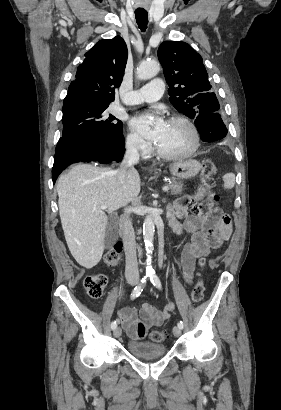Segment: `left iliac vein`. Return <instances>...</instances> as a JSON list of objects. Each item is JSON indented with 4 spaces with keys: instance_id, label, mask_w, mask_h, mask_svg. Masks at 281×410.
Masks as SVG:
<instances>
[{
    "instance_id": "obj_1",
    "label": "left iliac vein",
    "mask_w": 281,
    "mask_h": 410,
    "mask_svg": "<svg viewBox=\"0 0 281 410\" xmlns=\"http://www.w3.org/2000/svg\"><path fill=\"white\" fill-rule=\"evenodd\" d=\"M173 334H174L175 337H179L181 335V328L178 327V326H175L173 328Z\"/></svg>"
}]
</instances>
